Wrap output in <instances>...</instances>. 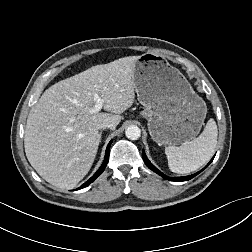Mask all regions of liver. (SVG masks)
<instances>
[{
	"mask_svg": "<svg viewBox=\"0 0 252 252\" xmlns=\"http://www.w3.org/2000/svg\"><path fill=\"white\" fill-rule=\"evenodd\" d=\"M137 56L93 66L61 80L44 91L31 108L24 135L27 159L48 183L73 189L90 170L101 141L99 125L114 128L135 99L134 65ZM94 94L104 110L91 113Z\"/></svg>",
	"mask_w": 252,
	"mask_h": 252,
	"instance_id": "liver-1",
	"label": "liver"
}]
</instances>
